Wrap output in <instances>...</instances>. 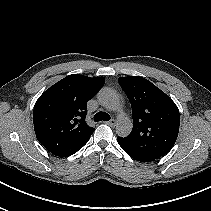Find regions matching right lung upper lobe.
Segmentation results:
<instances>
[{
  "label": "right lung upper lobe",
  "mask_w": 211,
  "mask_h": 211,
  "mask_svg": "<svg viewBox=\"0 0 211 211\" xmlns=\"http://www.w3.org/2000/svg\"><path fill=\"white\" fill-rule=\"evenodd\" d=\"M104 77L73 74L47 89L33 111L38 141L52 154L68 157L81 149L94 128L85 122L87 102L104 85Z\"/></svg>",
  "instance_id": "right-lung-upper-lobe-1"
}]
</instances>
